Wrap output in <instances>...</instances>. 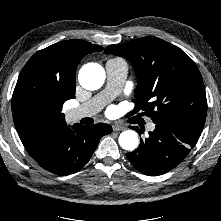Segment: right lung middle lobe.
Here are the masks:
<instances>
[{
	"mask_svg": "<svg viewBox=\"0 0 221 221\" xmlns=\"http://www.w3.org/2000/svg\"><path fill=\"white\" fill-rule=\"evenodd\" d=\"M74 98L47 81L33 77L18 79L12 96V103L24 114L30 116H54L61 114L63 103Z\"/></svg>",
	"mask_w": 221,
	"mask_h": 221,
	"instance_id": "dd1d6c3e",
	"label": "right lung middle lobe"
}]
</instances>
